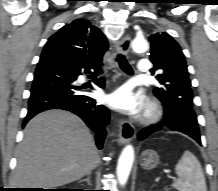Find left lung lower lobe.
<instances>
[{
    "label": "left lung lower lobe",
    "instance_id": "0a47b994",
    "mask_svg": "<svg viewBox=\"0 0 218 191\" xmlns=\"http://www.w3.org/2000/svg\"><path fill=\"white\" fill-rule=\"evenodd\" d=\"M180 109H181V113H179L173 121L168 120L164 115V120H165L164 124L173 131H179L184 134H187L188 136L192 137L194 140H196L201 145L199 131H196L193 129L190 130L183 126V123L186 120L193 118L192 111L187 106H180ZM160 128H161V123L160 125H157V126H151V127L145 128L139 132L138 138L140 140H143L150 134L154 133L156 130H159Z\"/></svg>",
    "mask_w": 218,
    "mask_h": 191
}]
</instances>
